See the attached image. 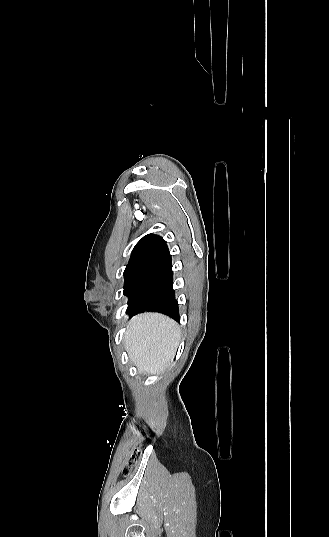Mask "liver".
Returning a JSON list of instances; mask_svg holds the SVG:
<instances>
[{
	"label": "liver",
	"instance_id": "6515ba94",
	"mask_svg": "<svg viewBox=\"0 0 329 537\" xmlns=\"http://www.w3.org/2000/svg\"><path fill=\"white\" fill-rule=\"evenodd\" d=\"M124 341L138 371L154 374L172 362L180 341V328L165 315L143 313L129 321Z\"/></svg>",
	"mask_w": 329,
	"mask_h": 537
}]
</instances>
